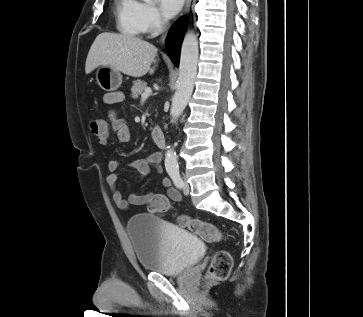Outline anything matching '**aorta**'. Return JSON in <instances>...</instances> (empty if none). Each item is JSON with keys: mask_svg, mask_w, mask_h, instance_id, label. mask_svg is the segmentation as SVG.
Returning <instances> with one entry per match:
<instances>
[{"mask_svg": "<svg viewBox=\"0 0 363 317\" xmlns=\"http://www.w3.org/2000/svg\"><path fill=\"white\" fill-rule=\"evenodd\" d=\"M153 0H144L151 3ZM198 39L193 31L188 32L181 46L179 76L176 92L172 98L170 115L172 122L176 121L186 108L194 89L198 63ZM165 168L167 171L178 169L177 157L174 148L168 146L165 154Z\"/></svg>", "mask_w": 363, "mask_h": 317, "instance_id": "1", "label": "aorta"}]
</instances>
